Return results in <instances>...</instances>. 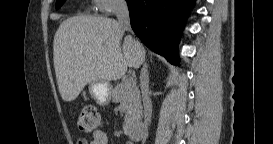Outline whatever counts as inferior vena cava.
I'll use <instances>...</instances> for the list:
<instances>
[{"label":"inferior vena cava","mask_w":273,"mask_h":144,"mask_svg":"<svg viewBox=\"0 0 273 144\" xmlns=\"http://www.w3.org/2000/svg\"><path fill=\"white\" fill-rule=\"evenodd\" d=\"M115 13H116L119 25L124 30L130 31L131 26H130L129 10L125 0L115 1ZM135 47H136V51L139 56L140 62L141 64H143V67L141 68V72H140V85H141V92H142V101L144 106L143 128L146 133L151 123V116H152V104H151L150 91H149V76H148L147 65L145 63L144 49L142 45L136 40H135Z\"/></svg>","instance_id":"1"}]
</instances>
